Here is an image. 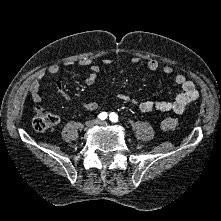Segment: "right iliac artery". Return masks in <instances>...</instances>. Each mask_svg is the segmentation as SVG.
<instances>
[{
    "instance_id": "right-iliac-artery-1",
    "label": "right iliac artery",
    "mask_w": 221,
    "mask_h": 221,
    "mask_svg": "<svg viewBox=\"0 0 221 221\" xmlns=\"http://www.w3.org/2000/svg\"><path fill=\"white\" fill-rule=\"evenodd\" d=\"M107 113L106 112H102V113H100L99 115H98V118L100 119V120H105L106 118H107Z\"/></svg>"
}]
</instances>
